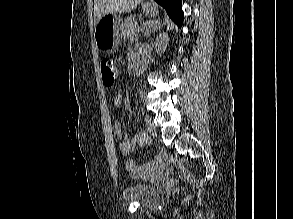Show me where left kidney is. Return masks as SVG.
Wrapping results in <instances>:
<instances>
[{"label":"left kidney","instance_id":"left-kidney-1","mask_svg":"<svg viewBox=\"0 0 293 219\" xmlns=\"http://www.w3.org/2000/svg\"><path fill=\"white\" fill-rule=\"evenodd\" d=\"M167 41L168 38L166 36V34H160L158 39H157V43H156V48H157V52L159 53H163L167 47Z\"/></svg>","mask_w":293,"mask_h":219}]
</instances>
